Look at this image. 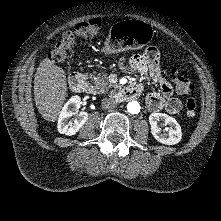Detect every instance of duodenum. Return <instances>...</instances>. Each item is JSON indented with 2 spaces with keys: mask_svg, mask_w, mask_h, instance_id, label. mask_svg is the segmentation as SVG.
<instances>
[{
  "mask_svg": "<svg viewBox=\"0 0 221 221\" xmlns=\"http://www.w3.org/2000/svg\"><path fill=\"white\" fill-rule=\"evenodd\" d=\"M70 88L77 93H83L88 87V83L81 73H74L69 76L68 80ZM141 93V88L137 85H132L124 88L120 92V97L125 100H131L137 98Z\"/></svg>",
  "mask_w": 221,
  "mask_h": 221,
  "instance_id": "obj_1",
  "label": "duodenum"
}]
</instances>
